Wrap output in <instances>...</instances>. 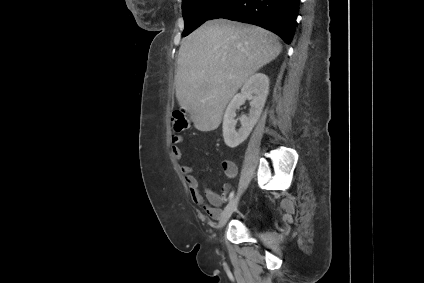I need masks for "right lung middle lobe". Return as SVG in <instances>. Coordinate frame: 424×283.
<instances>
[{
  "label": "right lung middle lobe",
  "instance_id": "dd1d6c3e",
  "mask_svg": "<svg viewBox=\"0 0 424 283\" xmlns=\"http://www.w3.org/2000/svg\"><path fill=\"white\" fill-rule=\"evenodd\" d=\"M228 0H182V13L185 29L182 37L187 36L219 10Z\"/></svg>",
  "mask_w": 424,
  "mask_h": 283
}]
</instances>
